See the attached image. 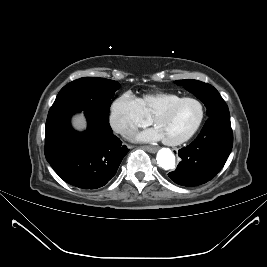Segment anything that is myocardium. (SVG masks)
Wrapping results in <instances>:
<instances>
[{"label":"myocardium","instance_id":"myocardium-1","mask_svg":"<svg viewBox=\"0 0 267 267\" xmlns=\"http://www.w3.org/2000/svg\"><path fill=\"white\" fill-rule=\"evenodd\" d=\"M186 101H193V102L198 104V106L200 108L199 118H198L197 122L195 123V125L192 127V129L184 136H182L178 139H174V140L163 139V142L169 146L181 145V144L187 142L189 139H191L196 134V132L201 127L203 120L205 118V106H204L203 102L196 97H191V96L181 97L180 99H178V100L166 105L165 107L159 109L158 111H156L151 118L152 123L155 125L159 117L170 113L173 109H175L177 106H179L180 104H182Z\"/></svg>","mask_w":267,"mask_h":267}]
</instances>
